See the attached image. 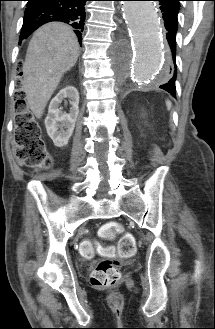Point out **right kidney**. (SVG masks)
Instances as JSON below:
<instances>
[{"label": "right kidney", "mask_w": 215, "mask_h": 329, "mask_svg": "<svg viewBox=\"0 0 215 329\" xmlns=\"http://www.w3.org/2000/svg\"><path fill=\"white\" fill-rule=\"evenodd\" d=\"M66 99L69 100L71 106L68 113L63 111L60 107L62 101L67 104ZM78 104L79 93L73 86H67L61 89L50 102L48 115L45 119V126L55 146L63 147L68 144L78 117Z\"/></svg>", "instance_id": "right-kidney-1"}]
</instances>
